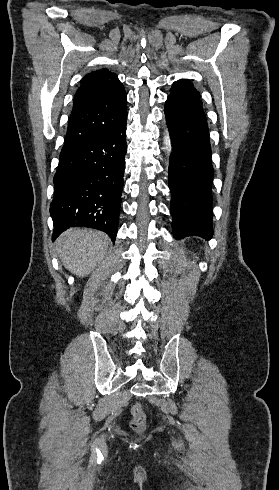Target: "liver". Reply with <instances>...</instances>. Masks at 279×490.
Wrapping results in <instances>:
<instances>
[{"label":"liver","instance_id":"obj_1","mask_svg":"<svg viewBox=\"0 0 279 490\" xmlns=\"http://www.w3.org/2000/svg\"><path fill=\"white\" fill-rule=\"evenodd\" d=\"M110 238L97 230L70 228L56 240L58 258L71 274L84 278L105 258Z\"/></svg>","mask_w":279,"mask_h":490}]
</instances>
